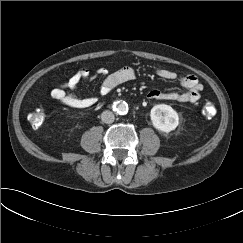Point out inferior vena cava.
<instances>
[{
    "mask_svg": "<svg viewBox=\"0 0 243 243\" xmlns=\"http://www.w3.org/2000/svg\"><path fill=\"white\" fill-rule=\"evenodd\" d=\"M114 114L113 112L111 111H103L102 114H101V120L104 122V123H107V124H110L112 122H114Z\"/></svg>",
    "mask_w": 243,
    "mask_h": 243,
    "instance_id": "inferior-vena-cava-1",
    "label": "inferior vena cava"
}]
</instances>
